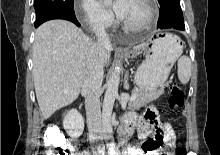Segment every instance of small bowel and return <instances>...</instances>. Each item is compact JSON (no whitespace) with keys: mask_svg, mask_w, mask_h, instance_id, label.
I'll list each match as a JSON object with an SVG mask.
<instances>
[{"mask_svg":"<svg viewBox=\"0 0 220 155\" xmlns=\"http://www.w3.org/2000/svg\"><path fill=\"white\" fill-rule=\"evenodd\" d=\"M160 114L157 111L156 105H147L144 116H138L135 113H130L125 117V122L129 127V138L134 131L137 132L139 138L144 139L143 150L145 152L152 151L148 150L147 146L151 139H148L152 133V129L157 134H162L164 138L171 139L174 141L175 134L171 125L167 122L160 121Z\"/></svg>","mask_w":220,"mask_h":155,"instance_id":"obj_1","label":"small bowel"}]
</instances>
